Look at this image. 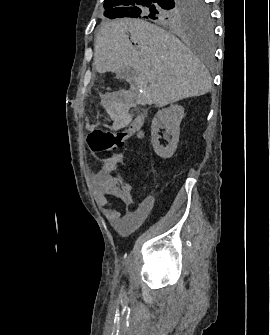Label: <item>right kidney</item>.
I'll return each instance as SVG.
<instances>
[{
  "label": "right kidney",
  "mask_w": 270,
  "mask_h": 335,
  "mask_svg": "<svg viewBox=\"0 0 270 335\" xmlns=\"http://www.w3.org/2000/svg\"><path fill=\"white\" fill-rule=\"evenodd\" d=\"M184 118V108L183 106H177V104H172L169 108H163L159 110L156 116L152 120L151 126V144L156 152L157 156L160 158H171L179 142L180 136V124ZM160 128L166 130L164 136H172L168 146L163 148L159 144V134Z\"/></svg>",
  "instance_id": "right-kidney-1"
}]
</instances>
